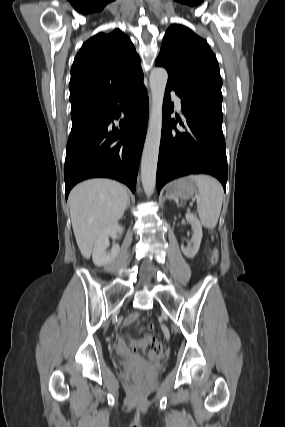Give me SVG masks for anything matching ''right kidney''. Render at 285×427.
<instances>
[{
    "instance_id": "ca27d5eb",
    "label": "right kidney",
    "mask_w": 285,
    "mask_h": 427,
    "mask_svg": "<svg viewBox=\"0 0 285 427\" xmlns=\"http://www.w3.org/2000/svg\"><path fill=\"white\" fill-rule=\"evenodd\" d=\"M122 231L123 228L118 223H114L97 236L92 254L93 263L96 266H108L116 258L120 251L119 245H113L109 253L106 252V249L109 246V236L121 234Z\"/></svg>"
}]
</instances>
